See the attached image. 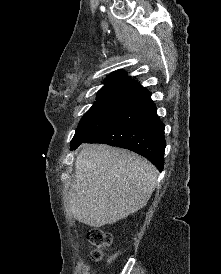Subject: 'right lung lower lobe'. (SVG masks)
I'll return each mask as SVG.
<instances>
[{
	"instance_id": "right-lung-lower-lobe-1",
	"label": "right lung lower lobe",
	"mask_w": 221,
	"mask_h": 274,
	"mask_svg": "<svg viewBox=\"0 0 221 274\" xmlns=\"http://www.w3.org/2000/svg\"><path fill=\"white\" fill-rule=\"evenodd\" d=\"M150 96L148 92L133 101L112 122L84 143H104L134 151L162 171L166 147L165 126L157 116L156 106Z\"/></svg>"
}]
</instances>
